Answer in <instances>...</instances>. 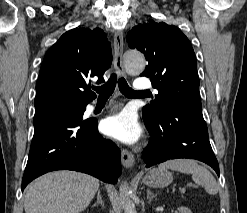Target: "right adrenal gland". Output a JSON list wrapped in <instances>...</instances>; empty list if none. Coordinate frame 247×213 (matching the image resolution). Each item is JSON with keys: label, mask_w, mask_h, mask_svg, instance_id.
Here are the masks:
<instances>
[{"label": "right adrenal gland", "mask_w": 247, "mask_h": 213, "mask_svg": "<svg viewBox=\"0 0 247 213\" xmlns=\"http://www.w3.org/2000/svg\"><path fill=\"white\" fill-rule=\"evenodd\" d=\"M98 205H101L102 207H104V201L102 199V195H101V191L100 190H98V192H97V201L95 202L93 207H96Z\"/></svg>", "instance_id": "obj_1"}]
</instances>
